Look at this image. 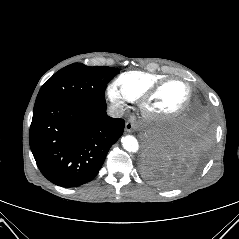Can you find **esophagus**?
Instances as JSON below:
<instances>
[{
	"instance_id": "obj_1",
	"label": "esophagus",
	"mask_w": 239,
	"mask_h": 239,
	"mask_svg": "<svg viewBox=\"0 0 239 239\" xmlns=\"http://www.w3.org/2000/svg\"><path fill=\"white\" fill-rule=\"evenodd\" d=\"M136 128L137 127H136V125L133 122L128 121L125 124V131L128 132V133L132 132Z\"/></svg>"
}]
</instances>
